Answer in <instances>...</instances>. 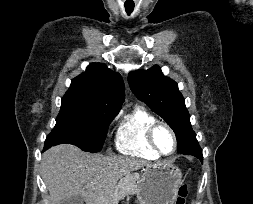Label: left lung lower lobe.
<instances>
[{
    "instance_id": "obj_1",
    "label": "left lung lower lobe",
    "mask_w": 253,
    "mask_h": 204,
    "mask_svg": "<svg viewBox=\"0 0 253 204\" xmlns=\"http://www.w3.org/2000/svg\"><path fill=\"white\" fill-rule=\"evenodd\" d=\"M182 154L193 155L197 157L201 162H203L202 150L197 141L195 142V145L189 151H185Z\"/></svg>"
}]
</instances>
